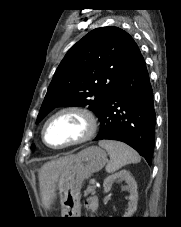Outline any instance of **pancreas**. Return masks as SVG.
<instances>
[{
    "instance_id": "obj_1",
    "label": "pancreas",
    "mask_w": 181,
    "mask_h": 227,
    "mask_svg": "<svg viewBox=\"0 0 181 227\" xmlns=\"http://www.w3.org/2000/svg\"><path fill=\"white\" fill-rule=\"evenodd\" d=\"M95 190H96V186L95 185H89L87 187V189L85 190L84 195L85 196H88L89 194L94 195L96 193Z\"/></svg>"
}]
</instances>
